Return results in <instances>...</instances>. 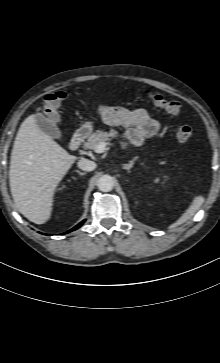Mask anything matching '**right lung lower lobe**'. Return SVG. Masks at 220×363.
Returning a JSON list of instances; mask_svg holds the SVG:
<instances>
[{"label":"right lung lower lobe","mask_w":220,"mask_h":363,"mask_svg":"<svg viewBox=\"0 0 220 363\" xmlns=\"http://www.w3.org/2000/svg\"><path fill=\"white\" fill-rule=\"evenodd\" d=\"M85 222V220L84 221H82V222H80L78 225H76L74 228H72L70 231H68V232H71V231H74V230H76V229H78L83 223Z\"/></svg>","instance_id":"obj_1"}]
</instances>
